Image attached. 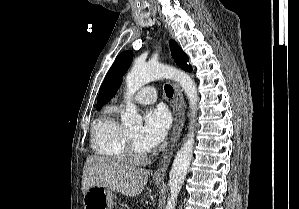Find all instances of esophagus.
<instances>
[{
    "label": "esophagus",
    "mask_w": 299,
    "mask_h": 209,
    "mask_svg": "<svg viewBox=\"0 0 299 209\" xmlns=\"http://www.w3.org/2000/svg\"><path fill=\"white\" fill-rule=\"evenodd\" d=\"M174 96L172 100L173 127L168 139V145L163 149L159 164L154 172L155 180H163L171 158L177 146L185 120V102L180 85L173 82Z\"/></svg>",
    "instance_id": "obj_1"
}]
</instances>
